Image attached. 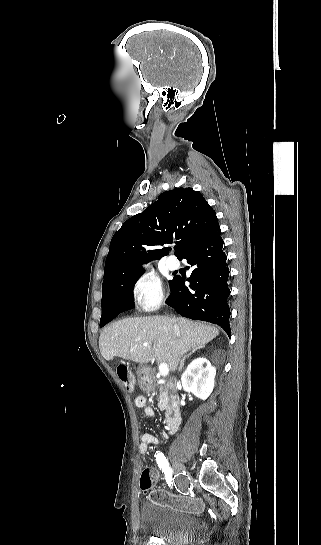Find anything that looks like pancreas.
<instances>
[{"mask_svg": "<svg viewBox=\"0 0 321 545\" xmlns=\"http://www.w3.org/2000/svg\"><path fill=\"white\" fill-rule=\"evenodd\" d=\"M145 375H153V371L152 369H146L145 371ZM161 381H163V379H161ZM159 391H160V395H159V401H158V407L159 409H161V411H164L165 407H166V401L168 399V391L167 389H165V385L164 383H159Z\"/></svg>", "mask_w": 321, "mask_h": 545, "instance_id": "cf45deb5", "label": "pancreas"}]
</instances>
